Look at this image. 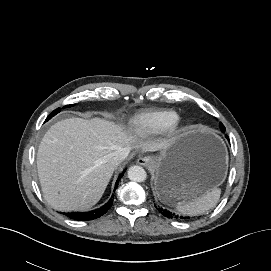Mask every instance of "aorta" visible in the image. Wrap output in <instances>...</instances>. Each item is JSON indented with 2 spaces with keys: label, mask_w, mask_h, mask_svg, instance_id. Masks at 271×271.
<instances>
[{
  "label": "aorta",
  "mask_w": 271,
  "mask_h": 271,
  "mask_svg": "<svg viewBox=\"0 0 271 271\" xmlns=\"http://www.w3.org/2000/svg\"><path fill=\"white\" fill-rule=\"evenodd\" d=\"M128 178L134 182H144L147 179V173L143 167L134 165L128 169Z\"/></svg>",
  "instance_id": "aorta-1"
}]
</instances>
